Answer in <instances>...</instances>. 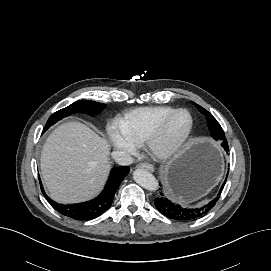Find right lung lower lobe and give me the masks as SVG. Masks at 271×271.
Returning a JSON list of instances; mask_svg holds the SVG:
<instances>
[{
	"label": "right lung lower lobe",
	"instance_id": "obj_1",
	"mask_svg": "<svg viewBox=\"0 0 271 271\" xmlns=\"http://www.w3.org/2000/svg\"><path fill=\"white\" fill-rule=\"evenodd\" d=\"M128 173V166L113 168L103 192L95 199L84 203L59 204L45 194L42 186L41 189L48 202L61 214L75 220H92L102 215L111 206L120 183Z\"/></svg>",
	"mask_w": 271,
	"mask_h": 271
}]
</instances>
